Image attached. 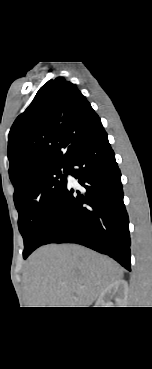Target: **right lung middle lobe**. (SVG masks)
Returning <instances> with one entry per match:
<instances>
[{"label": "right lung middle lobe", "instance_id": "dd1d6c3e", "mask_svg": "<svg viewBox=\"0 0 152 369\" xmlns=\"http://www.w3.org/2000/svg\"><path fill=\"white\" fill-rule=\"evenodd\" d=\"M67 170V164L49 168L35 175L28 185L14 196L19 213V231L24 239V259L41 245L48 231L67 185Z\"/></svg>", "mask_w": 152, "mask_h": 369}]
</instances>
